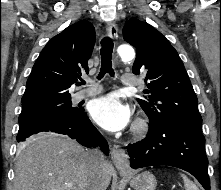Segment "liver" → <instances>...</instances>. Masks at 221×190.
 Returning a JSON list of instances; mask_svg holds the SVG:
<instances>
[{"mask_svg": "<svg viewBox=\"0 0 221 190\" xmlns=\"http://www.w3.org/2000/svg\"><path fill=\"white\" fill-rule=\"evenodd\" d=\"M88 152L77 142L56 134L40 133L29 138L17 152L13 190H88L93 175ZM113 170L105 161L102 190L109 186Z\"/></svg>", "mask_w": 221, "mask_h": 190, "instance_id": "liver-1", "label": "liver"}]
</instances>
